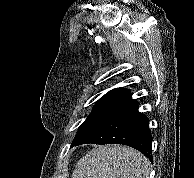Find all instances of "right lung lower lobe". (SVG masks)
<instances>
[{
	"label": "right lung lower lobe",
	"mask_w": 194,
	"mask_h": 178,
	"mask_svg": "<svg viewBox=\"0 0 194 178\" xmlns=\"http://www.w3.org/2000/svg\"><path fill=\"white\" fill-rule=\"evenodd\" d=\"M86 143L127 145L139 150L152 160L149 120L138 111L137 101L124 104L83 137L72 143L71 147Z\"/></svg>",
	"instance_id": "1"
}]
</instances>
